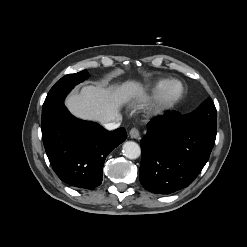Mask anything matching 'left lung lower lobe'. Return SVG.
<instances>
[{"instance_id":"0a47b994","label":"left lung lower lobe","mask_w":247,"mask_h":247,"mask_svg":"<svg viewBox=\"0 0 247 247\" xmlns=\"http://www.w3.org/2000/svg\"><path fill=\"white\" fill-rule=\"evenodd\" d=\"M147 129L141 140L143 187L159 194L187 187L208 161L217 131L189 124L178 112L151 120Z\"/></svg>"}]
</instances>
